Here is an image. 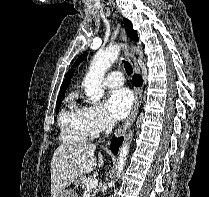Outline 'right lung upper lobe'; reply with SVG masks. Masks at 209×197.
<instances>
[{"instance_id":"cb5924a9","label":"right lung upper lobe","mask_w":209,"mask_h":197,"mask_svg":"<svg viewBox=\"0 0 209 197\" xmlns=\"http://www.w3.org/2000/svg\"><path fill=\"white\" fill-rule=\"evenodd\" d=\"M73 73H74V70H71V71L67 74V76L65 77V80L63 81L62 86H61V89H60V92H59L58 100L64 98V96H65V91H66V89H67L69 83L71 82L70 77L73 76Z\"/></svg>"}]
</instances>
